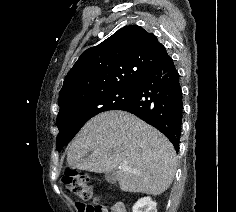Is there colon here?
Returning <instances> with one entry per match:
<instances>
[{"label":"colon","instance_id":"5ec220e1","mask_svg":"<svg viewBox=\"0 0 236 212\" xmlns=\"http://www.w3.org/2000/svg\"><path fill=\"white\" fill-rule=\"evenodd\" d=\"M62 181L71 195L80 202L88 203L79 206L80 212H104L105 206L96 202V195L88 176L68 171Z\"/></svg>","mask_w":236,"mask_h":212}]
</instances>
